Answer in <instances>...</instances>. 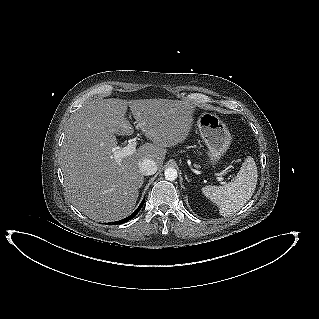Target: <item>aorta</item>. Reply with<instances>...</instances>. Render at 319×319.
<instances>
[{"label":"aorta","mask_w":319,"mask_h":319,"mask_svg":"<svg viewBox=\"0 0 319 319\" xmlns=\"http://www.w3.org/2000/svg\"><path fill=\"white\" fill-rule=\"evenodd\" d=\"M164 175L166 180L168 181H174L177 179L178 174H177V170L175 168L169 167L164 171Z\"/></svg>","instance_id":"aorta-1"}]
</instances>
